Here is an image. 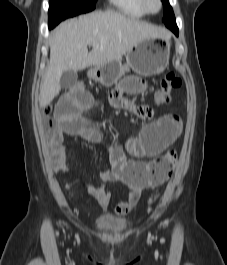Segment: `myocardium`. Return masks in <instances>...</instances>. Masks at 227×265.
I'll list each match as a JSON object with an SVG mask.
<instances>
[{
    "mask_svg": "<svg viewBox=\"0 0 227 265\" xmlns=\"http://www.w3.org/2000/svg\"><path fill=\"white\" fill-rule=\"evenodd\" d=\"M140 1H141L142 9L144 10L146 14H156L162 9V6H163L162 0H155V2L157 3V8L155 10H152L150 9L149 4H148L149 0H140Z\"/></svg>",
    "mask_w": 227,
    "mask_h": 265,
    "instance_id": "1",
    "label": "myocardium"
}]
</instances>
